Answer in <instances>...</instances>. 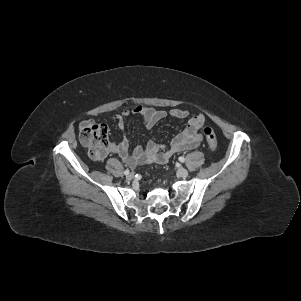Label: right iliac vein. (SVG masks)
Wrapping results in <instances>:
<instances>
[{
	"label": "right iliac vein",
	"instance_id": "obj_1",
	"mask_svg": "<svg viewBox=\"0 0 301 301\" xmlns=\"http://www.w3.org/2000/svg\"><path fill=\"white\" fill-rule=\"evenodd\" d=\"M134 178V174L133 173H129L127 176H126V179L127 180H132Z\"/></svg>",
	"mask_w": 301,
	"mask_h": 301
}]
</instances>
